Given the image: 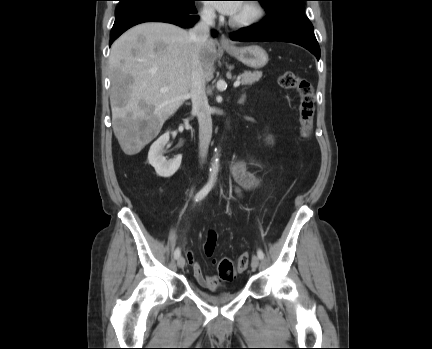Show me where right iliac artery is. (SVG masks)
Returning a JSON list of instances; mask_svg holds the SVG:
<instances>
[{
  "instance_id": "obj_1",
  "label": "right iliac artery",
  "mask_w": 432,
  "mask_h": 349,
  "mask_svg": "<svg viewBox=\"0 0 432 349\" xmlns=\"http://www.w3.org/2000/svg\"><path fill=\"white\" fill-rule=\"evenodd\" d=\"M212 188V184L211 183H207L196 195L194 200L196 202L202 200L211 190ZM181 251L179 248H177L174 252V257L177 259L180 257Z\"/></svg>"
}]
</instances>
